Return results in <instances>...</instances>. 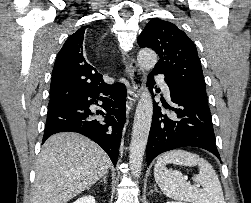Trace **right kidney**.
I'll return each mask as SVG.
<instances>
[{
    "instance_id": "obj_1",
    "label": "right kidney",
    "mask_w": 251,
    "mask_h": 203,
    "mask_svg": "<svg viewBox=\"0 0 251 203\" xmlns=\"http://www.w3.org/2000/svg\"><path fill=\"white\" fill-rule=\"evenodd\" d=\"M73 203H96V201L93 196L88 195V196H83V197L77 199Z\"/></svg>"
}]
</instances>
